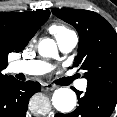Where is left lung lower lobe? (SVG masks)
Wrapping results in <instances>:
<instances>
[{
	"mask_svg": "<svg viewBox=\"0 0 117 117\" xmlns=\"http://www.w3.org/2000/svg\"><path fill=\"white\" fill-rule=\"evenodd\" d=\"M73 90L78 96L79 106L73 113H58L55 117H110L116 106L117 93L87 88L82 95V92Z\"/></svg>",
	"mask_w": 117,
	"mask_h": 117,
	"instance_id": "obj_1",
	"label": "left lung lower lobe"
}]
</instances>
